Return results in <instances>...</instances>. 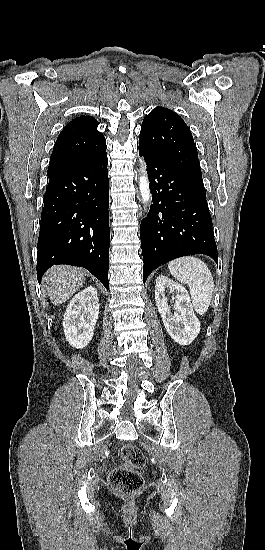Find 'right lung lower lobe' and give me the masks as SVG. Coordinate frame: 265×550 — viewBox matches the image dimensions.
Here are the masks:
<instances>
[{
  "mask_svg": "<svg viewBox=\"0 0 265 550\" xmlns=\"http://www.w3.org/2000/svg\"><path fill=\"white\" fill-rule=\"evenodd\" d=\"M106 152L48 171L37 278L53 265L84 267L109 289V179Z\"/></svg>",
  "mask_w": 265,
  "mask_h": 550,
  "instance_id": "right-lung-lower-lobe-1",
  "label": "right lung lower lobe"
}]
</instances>
